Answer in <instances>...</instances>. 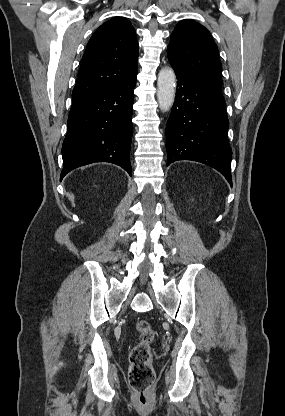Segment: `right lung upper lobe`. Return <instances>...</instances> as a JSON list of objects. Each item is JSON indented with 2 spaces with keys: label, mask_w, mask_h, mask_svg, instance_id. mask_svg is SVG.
Here are the masks:
<instances>
[{
  "label": "right lung upper lobe",
  "mask_w": 285,
  "mask_h": 416,
  "mask_svg": "<svg viewBox=\"0 0 285 416\" xmlns=\"http://www.w3.org/2000/svg\"><path fill=\"white\" fill-rule=\"evenodd\" d=\"M139 45L131 23L114 17L101 25L86 47L72 103L100 95L135 76Z\"/></svg>",
  "instance_id": "cb5924a9"
}]
</instances>
